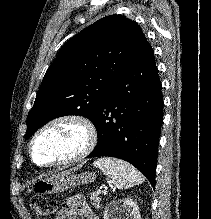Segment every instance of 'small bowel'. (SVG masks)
Segmentation results:
<instances>
[{"label": "small bowel", "mask_w": 211, "mask_h": 219, "mask_svg": "<svg viewBox=\"0 0 211 219\" xmlns=\"http://www.w3.org/2000/svg\"><path fill=\"white\" fill-rule=\"evenodd\" d=\"M54 219H99L81 195L67 199Z\"/></svg>", "instance_id": "c3829d8e"}]
</instances>
